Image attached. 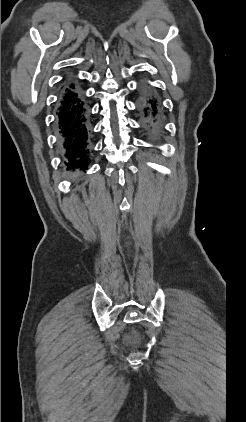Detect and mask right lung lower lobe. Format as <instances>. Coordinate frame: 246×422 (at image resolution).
<instances>
[{
	"instance_id": "obj_1",
	"label": "right lung lower lobe",
	"mask_w": 246,
	"mask_h": 422,
	"mask_svg": "<svg viewBox=\"0 0 246 422\" xmlns=\"http://www.w3.org/2000/svg\"><path fill=\"white\" fill-rule=\"evenodd\" d=\"M56 129L64 164L87 170L91 140L90 117L85 99L77 85L69 81L60 91Z\"/></svg>"
}]
</instances>
